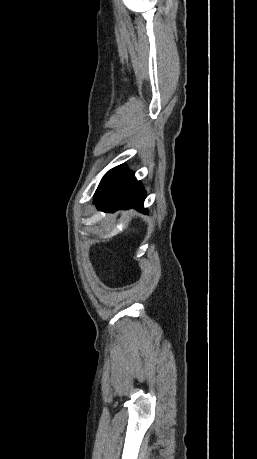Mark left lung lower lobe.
<instances>
[{
  "label": "left lung lower lobe",
  "mask_w": 257,
  "mask_h": 459,
  "mask_svg": "<svg viewBox=\"0 0 257 459\" xmlns=\"http://www.w3.org/2000/svg\"><path fill=\"white\" fill-rule=\"evenodd\" d=\"M145 190L134 175L124 166L111 169L100 182L94 204L100 210L114 212L118 209L136 208L143 212Z\"/></svg>",
  "instance_id": "obj_1"
}]
</instances>
